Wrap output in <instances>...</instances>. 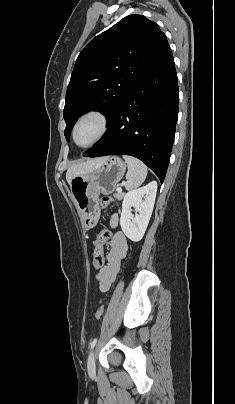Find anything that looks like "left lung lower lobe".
Segmentation results:
<instances>
[{
  "instance_id": "1",
  "label": "left lung lower lobe",
  "mask_w": 235,
  "mask_h": 404,
  "mask_svg": "<svg viewBox=\"0 0 235 404\" xmlns=\"http://www.w3.org/2000/svg\"><path fill=\"white\" fill-rule=\"evenodd\" d=\"M178 83L170 47L137 81L108 124V131L84 157L131 155L163 183L178 117Z\"/></svg>"
}]
</instances>
